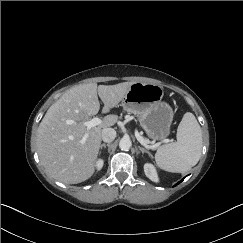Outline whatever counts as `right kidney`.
<instances>
[{"mask_svg": "<svg viewBox=\"0 0 243 243\" xmlns=\"http://www.w3.org/2000/svg\"><path fill=\"white\" fill-rule=\"evenodd\" d=\"M103 164H104V162H103L102 159H99V160L96 161L95 166H96V168H97L98 171L102 169Z\"/></svg>", "mask_w": 243, "mask_h": 243, "instance_id": "right-kidney-1", "label": "right kidney"}]
</instances>
